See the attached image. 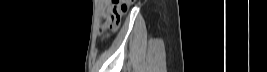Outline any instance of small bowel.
Segmentation results:
<instances>
[{
  "label": "small bowel",
  "instance_id": "c3829d8e",
  "mask_svg": "<svg viewBox=\"0 0 267 72\" xmlns=\"http://www.w3.org/2000/svg\"><path fill=\"white\" fill-rule=\"evenodd\" d=\"M110 7V6H109ZM109 7H108V9H107V11H106V16H107V14H108V11H109Z\"/></svg>",
  "mask_w": 267,
  "mask_h": 72
}]
</instances>
